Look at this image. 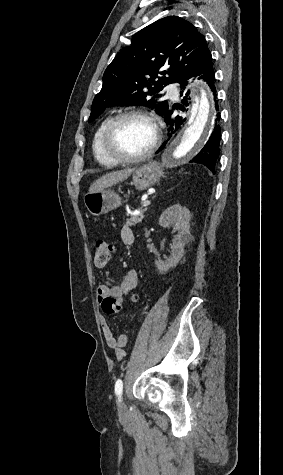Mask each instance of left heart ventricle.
<instances>
[{
    "instance_id": "left-heart-ventricle-1",
    "label": "left heart ventricle",
    "mask_w": 283,
    "mask_h": 475,
    "mask_svg": "<svg viewBox=\"0 0 283 475\" xmlns=\"http://www.w3.org/2000/svg\"><path fill=\"white\" fill-rule=\"evenodd\" d=\"M154 138L155 129L149 120L126 118L117 125L108 152L113 157H138L149 150Z\"/></svg>"
}]
</instances>
